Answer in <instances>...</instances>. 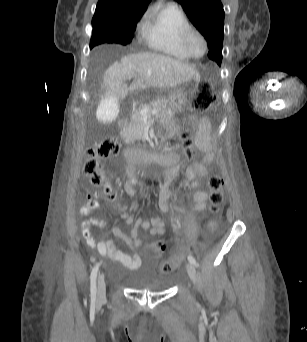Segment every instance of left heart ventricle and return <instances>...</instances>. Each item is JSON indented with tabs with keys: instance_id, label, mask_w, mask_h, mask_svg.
<instances>
[{
	"instance_id": "b2bd125f",
	"label": "left heart ventricle",
	"mask_w": 307,
	"mask_h": 342,
	"mask_svg": "<svg viewBox=\"0 0 307 342\" xmlns=\"http://www.w3.org/2000/svg\"><path fill=\"white\" fill-rule=\"evenodd\" d=\"M188 48L194 56H201L204 51V44L199 33H193L188 39Z\"/></svg>"
}]
</instances>
